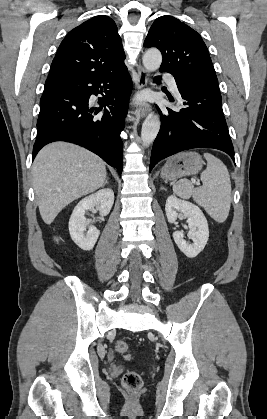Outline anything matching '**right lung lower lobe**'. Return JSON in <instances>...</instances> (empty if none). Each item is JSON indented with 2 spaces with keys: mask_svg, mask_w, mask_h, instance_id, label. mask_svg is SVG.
<instances>
[{
  "mask_svg": "<svg viewBox=\"0 0 267 419\" xmlns=\"http://www.w3.org/2000/svg\"><path fill=\"white\" fill-rule=\"evenodd\" d=\"M131 90L132 81L125 66L105 75L46 81L40 100L33 158L46 144L67 141L94 152L121 173L123 143L120 133L125 127ZM92 94L103 95L99 98V108L88 106ZM108 105L114 107L98 115Z\"/></svg>",
  "mask_w": 267,
  "mask_h": 419,
  "instance_id": "1",
  "label": "right lung lower lobe"
}]
</instances>
